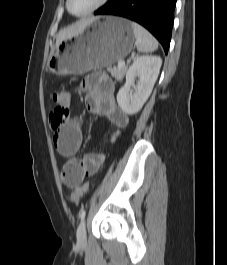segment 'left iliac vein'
I'll list each match as a JSON object with an SVG mask.
<instances>
[{"mask_svg": "<svg viewBox=\"0 0 227 265\" xmlns=\"http://www.w3.org/2000/svg\"><path fill=\"white\" fill-rule=\"evenodd\" d=\"M86 225L85 222L82 221L77 230V243L79 245H84L86 243Z\"/></svg>", "mask_w": 227, "mask_h": 265, "instance_id": "obj_1", "label": "left iliac vein"}]
</instances>
